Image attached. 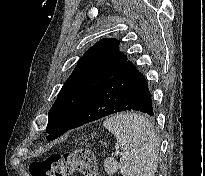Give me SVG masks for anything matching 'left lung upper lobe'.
Wrapping results in <instances>:
<instances>
[{"mask_svg": "<svg viewBox=\"0 0 205 176\" xmlns=\"http://www.w3.org/2000/svg\"><path fill=\"white\" fill-rule=\"evenodd\" d=\"M118 47V40L103 39L81 57L49 111L47 141L64 134L80 107L127 61Z\"/></svg>", "mask_w": 205, "mask_h": 176, "instance_id": "left-lung-upper-lobe-1", "label": "left lung upper lobe"}]
</instances>
